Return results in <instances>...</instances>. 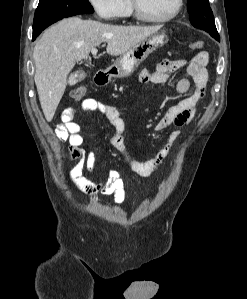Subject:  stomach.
<instances>
[{"instance_id":"1","label":"stomach","mask_w":247,"mask_h":299,"mask_svg":"<svg viewBox=\"0 0 247 299\" xmlns=\"http://www.w3.org/2000/svg\"><path fill=\"white\" fill-rule=\"evenodd\" d=\"M168 42L165 31L156 32L120 56L111 67V75L124 78L131 75L139 65L154 51Z\"/></svg>"}]
</instances>
